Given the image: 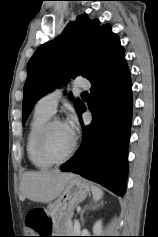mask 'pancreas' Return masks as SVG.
I'll return each instance as SVG.
<instances>
[{"label": "pancreas", "mask_w": 158, "mask_h": 237, "mask_svg": "<svg viewBox=\"0 0 158 237\" xmlns=\"http://www.w3.org/2000/svg\"><path fill=\"white\" fill-rule=\"evenodd\" d=\"M79 229L80 228L73 227L70 215L68 217L62 218L55 227L54 231L56 233H66L65 235L76 236L78 233H80Z\"/></svg>", "instance_id": "obj_1"}]
</instances>
